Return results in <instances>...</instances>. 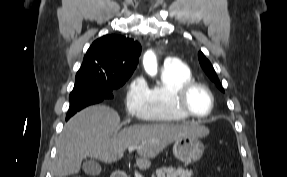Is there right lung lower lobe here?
Returning a JSON list of instances; mask_svg holds the SVG:
<instances>
[{"instance_id":"1","label":"right lung lower lobe","mask_w":287,"mask_h":177,"mask_svg":"<svg viewBox=\"0 0 287 177\" xmlns=\"http://www.w3.org/2000/svg\"><path fill=\"white\" fill-rule=\"evenodd\" d=\"M102 101L103 100L96 97H83L70 101V108L66 120H68L71 116H73L76 112L80 111L81 109L89 105L100 103Z\"/></svg>"}]
</instances>
